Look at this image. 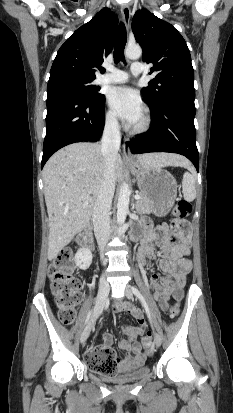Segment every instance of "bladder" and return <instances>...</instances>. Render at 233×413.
Wrapping results in <instances>:
<instances>
[{
	"mask_svg": "<svg viewBox=\"0 0 233 413\" xmlns=\"http://www.w3.org/2000/svg\"><path fill=\"white\" fill-rule=\"evenodd\" d=\"M149 372V367L142 364L123 369L116 374L99 373L105 380L110 382H128L144 377Z\"/></svg>",
	"mask_w": 233,
	"mask_h": 413,
	"instance_id": "bladder-1",
	"label": "bladder"
}]
</instances>
